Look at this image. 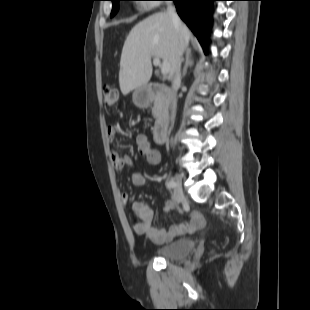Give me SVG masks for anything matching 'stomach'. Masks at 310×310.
Listing matches in <instances>:
<instances>
[{"label":"stomach","instance_id":"0dacf381","mask_svg":"<svg viewBox=\"0 0 310 310\" xmlns=\"http://www.w3.org/2000/svg\"><path fill=\"white\" fill-rule=\"evenodd\" d=\"M147 93L144 88H137L133 92V102L137 106H145L147 104Z\"/></svg>","mask_w":310,"mask_h":310}]
</instances>
